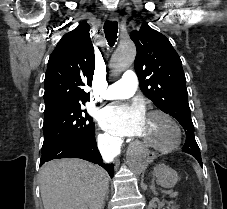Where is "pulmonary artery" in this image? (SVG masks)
I'll return each mask as SVG.
<instances>
[{
    "label": "pulmonary artery",
    "instance_id": "1",
    "mask_svg": "<svg viewBox=\"0 0 227 209\" xmlns=\"http://www.w3.org/2000/svg\"><path fill=\"white\" fill-rule=\"evenodd\" d=\"M136 73L131 70H126L123 73V78L115 84H110L104 98L107 100L127 98L134 94L136 89Z\"/></svg>",
    "mask_w": 227,
    "mask_h": 209
}]
</instances>
